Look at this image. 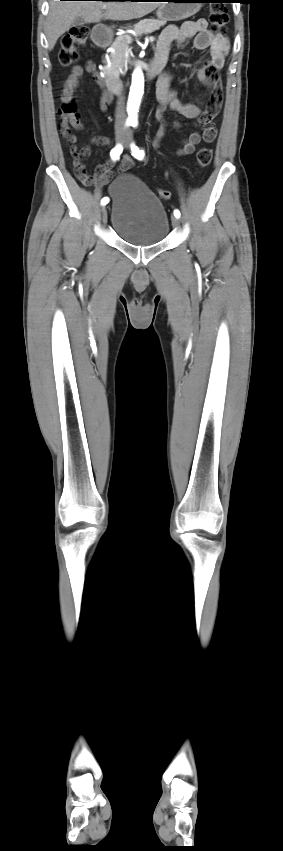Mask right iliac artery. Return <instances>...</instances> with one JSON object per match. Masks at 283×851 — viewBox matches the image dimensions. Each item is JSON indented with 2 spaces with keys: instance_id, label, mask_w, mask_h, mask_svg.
Listing matches in <instances>:
<instances>
[{
  "instance_id": "1",
  "label": "right iliac artery",
  "mask_w": 283,
  "mask_h": 851,
  "mask_svg": "<svg viewBox=\"0 0 283 851\" xmlns=\"http://www.w3.org/2000/svg\"><path fill=\"white\" fill-rule=\"evenodd\" d=\"M122 151H123V147H122V145H120V144L116 145V146H115V147L111 150V152H110V156H111V158H112L113 160H118V159H119V157H120V155H121V153H122ZM108 202H109V198H108V197H104V198H102V200H101V204H102V205H106Z\"/></svg>"
}]
</instances>
